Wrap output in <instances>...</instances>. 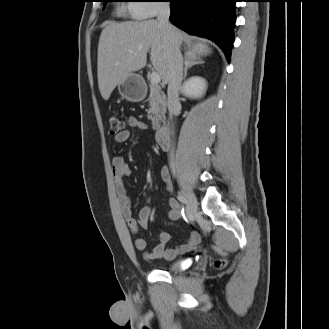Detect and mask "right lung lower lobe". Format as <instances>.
Returning <instances> with one entry per match:
<instances>
[{
	"instance_id": "1",
	"label": "right lung lower lobe",
	"mask_w": 329,
	"mask_h": 329,
	"mask_svg": "<svg viewBox=\"0 0 329 329\" xmlns=\"http://www.w3.org/2000/svg\"><path fill=\"white\" fill-rule=\"evenodd\" d=\"M170 21L185 32L214 41L230 59L237 0H168Z\"/></svg>"
}]
</instances>
